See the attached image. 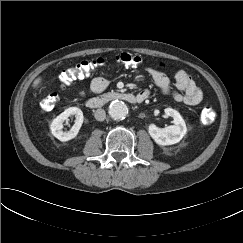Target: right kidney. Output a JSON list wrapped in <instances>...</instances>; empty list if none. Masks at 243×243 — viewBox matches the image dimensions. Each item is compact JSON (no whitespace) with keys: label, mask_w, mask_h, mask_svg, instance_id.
<instances>
[{"label":"right kidney","mask_w":243,"mask_h":243,"mask_svg":"<svg viewBox=\"0 0 243 243\" xmlns=\"http://www.w3.org/2000/svg\"><path fill=\"white\" fill-rule=\"evenodd\" d=\"M74 115L75 116V124L72 126L70 131L64 132L62 131L63 128V122L68 119L69 116ZM84 120L83 112L81 109L77 107H70L66 109L64 112H62L60 115H58L51 123L50 129L51 133L54 137L59 139L60 141H69L73 138H75L82 126Z\"/></svg>","instance_id":"right-kidney-1"}]
</instances>
